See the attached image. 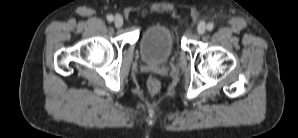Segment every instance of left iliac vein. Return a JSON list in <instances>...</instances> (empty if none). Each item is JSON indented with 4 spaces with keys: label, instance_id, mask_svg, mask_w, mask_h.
Instances as JSON below:
<instances>
[{
    "label": "left iliac vein",
    "instance_id": "obj_1",
    "mask_svg": "<svg viewBox=\"0 0 298 138\" xmlns=\"http://www.w3.org/2000/svg\"><path fill=\"white\" fill-rule=\"evenodd\" d=\"M205 31H206V24H205V22H200V23L198 24V26H197V32H198L199 34H204Z\"/></svg>",
    "mask_w": 298,
    "mask_h": 138
}]
</instances>
